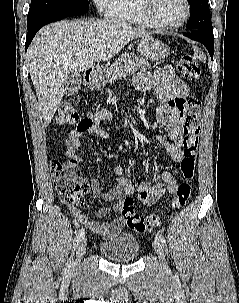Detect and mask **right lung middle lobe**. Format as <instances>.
<instances>
[{
    "mask_svg": "<svg viewBox=\"0 0 239 303\" xmlns=\"http://www.w3.org/2000/svg\"><path fill=\"white\" fill-rule=\"evenodd\" d=\"M89 10L88 0H31L27 21L51 12Z\"/></svg>",
    "mask_w": 239,
    "mask_h": 303,
    "instance_id": "obj_1",
    "label": "right lung middle lobe"
}]
</instances>
